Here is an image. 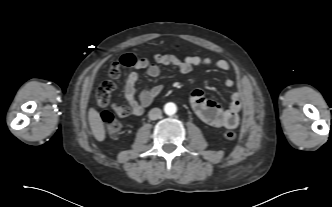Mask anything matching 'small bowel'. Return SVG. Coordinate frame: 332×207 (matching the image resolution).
Here are the masks:
<instances>
[{"label":"small bowel","mask_w":332,"mask_h":207,"mask_svg":"<svg viewBox=\"0 0 332 207\" xmlns=\"http://www.w3.org/2000/svg\"><path fill=\"white\" fill-rule=\"evenodd\" d=\"M153 61L146 59L137 60L134 65L135 70L130 72L126 79L124 95L128 102L125 114L119 116L134 115L139 116L143 110L151 104L155 97L162 91V86L159 84L153 85L151 88L142 91L138 96L136 94L135 85L139 79L137 70H145L146 74L151 78H157L160 75L158 65L175 67L181 74H189L193 67L200 65H213L221 71L230 70V63L224 59L215 60L209 56H187L179 58L172 54H155ZM225 84L228 87L234 85V80L226 79ZM243 95L241 92H233L231 94V103L228 108H223L214 101L208 100L203 91L196 89L191 94V104L196 114L203 122L213 127H222L228 129H235L239 126V114L242 109Z\"/></svg>","instance_id":"small-bowel-1"}]
</instances>
